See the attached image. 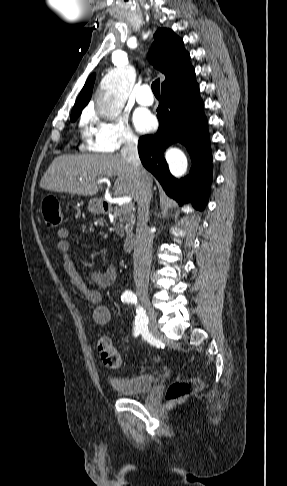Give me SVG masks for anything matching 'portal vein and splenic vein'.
I'll return each instance as SVG.
<instances>
[{
  "mask_svg": "<svg viewBox=\"0 0 287 486\" xmlns=\"http://www.w3.org/2000/svg\"><path fill=\"white\" fill-rule=\"evenodd\" d=\"M108 179L106 178H103V179H99L96 181V183H104V182H107ZM130 202H131V198L130 197H126V198H123L122 199V204L123 206L122 207H125V208H129L130 207Z\"/></svg>",
  "mask_w": 287,
  "mask_h": 486,
  "instance_id": "1",
  "label": "portal vein and splenic vein"
}]
</instances>
